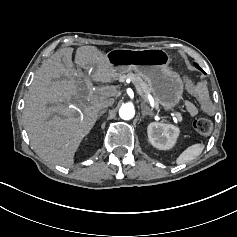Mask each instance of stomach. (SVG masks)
<instances>
[{
	"mask_svg": "<svg viewBox=\"0 0 237 237\" xmlns=\"http://www.w3.org/2000/svg\"><path fill=\"white\" fill-rule=\"evenodd\" d=\"M114 77L135 71L149 85L156 101L166 110L172 109L182 98L183 81L177 72L169 69L170 58L162 48H116L105 55Z\"/></svg>",
	"mask_w": 237,
	"mask_h": 237,
	"instance_id": "obj_1",
	"label": "stomach"
}]
</instances>
